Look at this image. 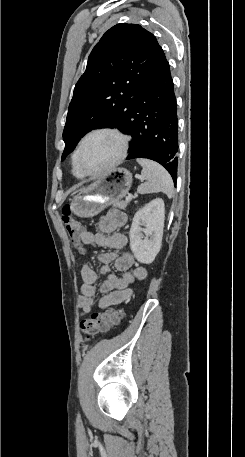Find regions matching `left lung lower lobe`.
<instances>
[{
    "label": "left lung lower lobe",
    "mask_w": 245,
    "mask_h": 457,
    "mask_svg": "<svg viewBox=\"0 0 245 457\" xmlns=\"http://www.w3.org/2000/svg\"><path fill=\"white\" fill-rule=\"evenodd\" d=\"M145 96L128 121L117 127L132 136L128 159L148 158L160 163L176 184L178 117L169 63L161 48L145 86Z\"/></svg>",
    "instance_id": "obj_1"
}]
</instances>
